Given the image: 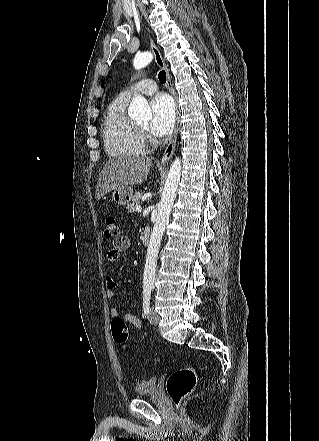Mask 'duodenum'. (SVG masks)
I'll return each mask as SVG.
<instances>
[{"instance_id":"410a0bca","label":"duodenum","mask_w":319,"mask_h":441,"mask_svg":"<svg viewBox=\"0 0 319 441\" xmlns=\"http://www.w3.org/2000/svg\"><path fill=\"white\" fill-rule=\"evenodd\" d=\"M141 240L144 245H148L150 241V229L145 228L141 234Z\"/></svg>"}]
</instances>
